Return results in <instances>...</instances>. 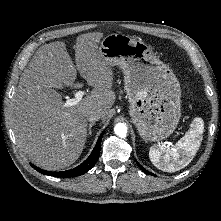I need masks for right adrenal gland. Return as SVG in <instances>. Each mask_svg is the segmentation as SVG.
<instances>
[{"instance_id": "obj_1", "label": "right adrenal gland", "mask_w": 221, "mask_h": 221, "mask_svg": "<svg viewBox=\"0 0 221 221\" xmlns=\"http://www.w3.org/2000/svg\"><path fill=\"white\" fill-rule=\"evenodd\" d=\"M94 124H95V122H91V123L89 124L87 136L91 135V133H92V127H93Z\"/></svg>"}]
</instances>
